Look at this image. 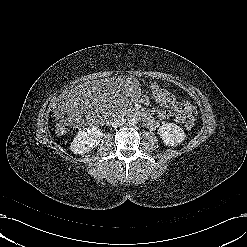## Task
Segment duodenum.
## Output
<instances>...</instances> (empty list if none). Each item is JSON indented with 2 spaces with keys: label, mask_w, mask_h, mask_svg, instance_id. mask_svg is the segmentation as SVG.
I'll list each match as a JSON object with an SVG mask.
<instances>
[{
  "label": "duodenum",
  "mask_w": 247,
  "mask_h": 247,
  "mask_svg": "<svg viewBox=\"0 0 247 247\" xmlns=\"http://www.w3.org/2000/svg\"><path fill=\"white\" fill-rule=\"evenodd\" d=\"M125 114L127 116L139 117L146 123H150L151 122V117L148 114L140 111L139 109H135V108L134 109H129L128 111L125 112ZM119 116L120 115L116 114V115H112L111 118H118Z\"/></svg>",
  "instance_id": "obj_1"
}]
</instances>
